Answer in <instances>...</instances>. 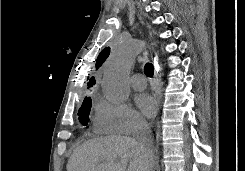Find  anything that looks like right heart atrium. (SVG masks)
<instances>
[{"mask_svg": "<svg viewBox=\"0 0 245 171\" xmlns=\"http://www.w3.org/2000/svg\"><path fill=\"white\" fill-rule=\"evenodd\" d=\"M146 127L142 116L127 104L98 98L95 104L94 130L99 134H134Z\"/></svg>", "mask_w": 245, "mask_h": 171, "instance_id": "obj_1", "label": "right heart atrium"}]
</instances>
